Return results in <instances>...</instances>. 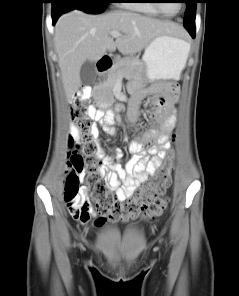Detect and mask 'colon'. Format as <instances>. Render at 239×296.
Segmentation results:
<instances>
[{"label": "colon", "instance_id": "obj_1", "mask_svg": "<svg viewBox=\"0 0 239 296\" xmlns=\"http://www.w3.org/2000/svg\"><path fill=\"white\" fill-rule=\"evenodd\" d=\"M90 95L86 88L83 97ZM92 107L82 100H77L71 107V118L77 135L70 139L66 178L63 197L71 215L82 222L91 218L92 206L106 217L115 218L122 215L142 217L160 216L167 208V199L163 196L169 180V172L174 166L175 153L169 152L163 167L154 180L147 183L133 199L120 202L109 192L107 183L99 165L100 155L95 141L94 123L90 112ZM84 181V185L81 182Z\"/></svg>", "mask_w": 239, "mask_h": 296}]
</instances>
